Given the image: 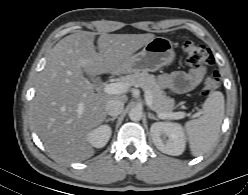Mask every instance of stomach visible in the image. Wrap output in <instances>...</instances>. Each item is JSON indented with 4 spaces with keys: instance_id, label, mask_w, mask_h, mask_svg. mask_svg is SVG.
<instances>
[{
    "instance_id": "obj_1",
    "label": "stomach",
    "mask_w": 248,
    "mask_h": 195,
    "mask_svg": "<svg viewBox=\"0 0 248 195\" xmlns=\"http://www.w3.org/2000/svg\"><path fill=\"white\" fill-rule=\"evenodd\" d=\"M173 43L165 37H155L145 44L144 48L133 55L122 72H155L171 64L175 59Z\"/></svg>"
}]
</instances>
